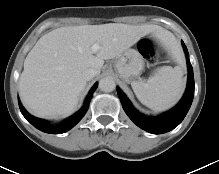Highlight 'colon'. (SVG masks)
<instances>
[{
	"mask_svg": "<svg viewBox=\"0 0 219 174\" xmlns=\"http://www.w3.org/2000/svg\"><path fill=\"white\" fill-rule=\"evenodd\" d=\"M138 48L140 53L151 66L156 65L159 56L163 55L162 49L158 43L151 38H145L141 40L138 44Z\"/></svg>",
	"mask_w": 219,
	"mask_h": 174,
	"instance_id": "1",
	"label": "colon"
}]
</instances>
